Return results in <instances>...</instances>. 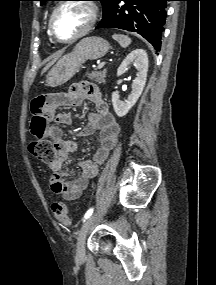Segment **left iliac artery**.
<instances>
[{"instance_id": "1", "label": "left iliac artery", "mask_w": 216, "mask_h": 285, "mask_svg": "<svg viewBox=\"0 0 216 285\" xmlns=\"http://www.w3.org/2000/svg\"><path fill=\"white\" fill-rule=\"evenodd\" d=\"M93 213V208L89 209L85 215H84V220L87 219L88 217H90Z\"/></svg>"}]
</instances>
